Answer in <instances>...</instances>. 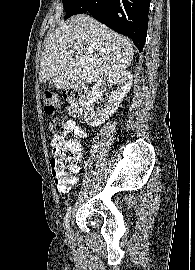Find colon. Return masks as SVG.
<instances>
[{
	"label": "colon",
	"instance_id": "1",
	"mask_svg": "<svg viewBox=\"0 0 195 270\" xmlns=\"http://www.w3.org/2000/svg\"><path fill=\"white\" fill-rule=\"evenodd\" d=\"M63 98L68 106L69 113L74 117L82 115L88 92L82 87H73L63 93ZM43 110L52 115L59 105V97L56 93L45 90L41 94ZM50 131L54 137L65 135V122L55 118L50 121ZM82 158L80 143L75 139H69L54 151L51 160L52 174L56 187L60 192H65L76 181L75 174L78 172V163Z\"/></svg>",
	"mask_w": 195,
	"mask_h": 270
}]
</instances>
